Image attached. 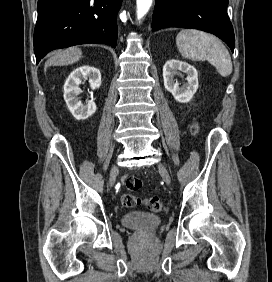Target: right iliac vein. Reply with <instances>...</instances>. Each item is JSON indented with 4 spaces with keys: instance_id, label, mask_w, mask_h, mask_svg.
I'll use <instances>...</instances> for the list:
<instances>
[{
    "instance_id": "obj_1",
    "label": "right iliac vein",
    "mask_w": 272,
    "mask_h": 282,
    "mask_svg": "<svg viewBox=\"0 0 272 282\" xmlns=\"http://www.w3.org/2000/svg\"><path fill=\"white\" fill-rule=\"evenodd\" d=\"M117 174H118V166L114 164L111 168L110 176H109V183L111 186L114 184Z\"/></svg>"
}]
</instances>
